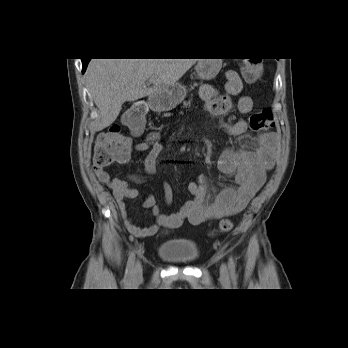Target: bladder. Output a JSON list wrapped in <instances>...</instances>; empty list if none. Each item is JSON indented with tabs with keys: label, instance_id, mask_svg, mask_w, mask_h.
<instances>
[{
	"label": "bladder",
	"instance_id": "bladder-1",
	"mask_svg": "<svg viewBox=\"0 0 348 348\" xmlns=\"http://www.w3.org/2000/svg\"><path fill=\"white\" fill-rule=\"evenodd\" d=\"M157 255L172 264H189L194 262L199 250L192 241H165L158 246Z\"/></svg>",
	"mask_w": 348,
	"mask_h": 348
}]
</instances>
